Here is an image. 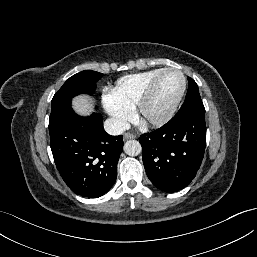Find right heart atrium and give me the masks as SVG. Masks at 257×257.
<instances>
[{"instance_id":"obj_1","label":"right heart atrium","mask_w":257,"mask_h":257,"mask_svg":"<svg viewBox=\"0 0 257 257\" xmlns=\"http://www.w3.org/2000/svg\"><path fill=\"white\" fill-rule=\"evenodd\" d=\"M104 105L106 112L113 118L115 126L120 130L124 129L133 117L132 109L119 105L109 94L104 97Z\"/></svg>"}]
</instances>
